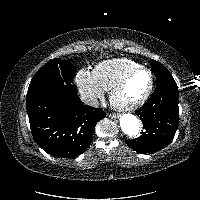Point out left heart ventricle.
I'll list each match as a JSON object with an SVG mask.
<instances>
[{"label": "left heart ventricle", "instance_id": "left-heart-ventricle-1", "mask_svg": "<svg viewBox=\"0 0 200 200\" xmlns=\"http://www.w3.org/2000/svg\"><path fill=\"white\" fill-rule=\"evenodd\" d=\"M150 84V75L140 71L132 76L125 86L119 91L116 100L119 103H132L139 100L147 91Z\"/></svg>", "mask_w": 200, "mask_h": 200}]
</instances>
